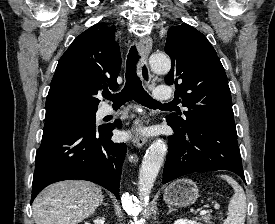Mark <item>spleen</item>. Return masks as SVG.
Here are the masks:
<instances>
[{"instance_id": "spleen-1", "label": "spleen", "mask_w": 275, "mask_h": 224, "mask_svg": "<svg viewBox=\"0 0 275 224\" xmlns=\"http://www.w3.org/2000/svg\"><path fill=\"white\" fill-rule=\"evenodd\" d=\"M220 177L226 180L234 190V195L232 196L228 206V216L223 224H244L247 203L243 188L228 175H221Z\"/></svg>"}]
</instances>
